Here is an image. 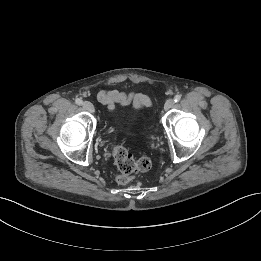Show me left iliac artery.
<instances>
[{
	"label": "left iliac artery",
	"mask_w": 261,
	"mask_h": 261,
	"mask_svg": "<svg viewBox=\"0 0 261 261\" xmlns=\"http://www.w3.org/2000/svg\"><path fill=\"white\" fill-rule=\"evenodd\" d=\"M181 100V95L177 94L175 97H174V101L175 102H179Z\"/></svg>",
	"instance_id": "left-iliac-artery-1"
}]
</instances>
